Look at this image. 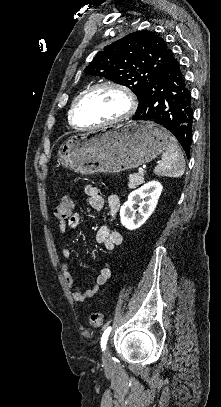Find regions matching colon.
<instances>
[{
    "label": "colon",
    "instance_id": "1",
    "mask_svg": "<svg viewBox=\"0 0 221 407\" xmlns=\"http://www.w3.org/2000/svg\"><path fill=\"white\" fill-rule=\"evenodd\" d=\"M74 209L73 199L70 196L63 197L54 208V216L59 220H68L72 217ZM104 314L100 311L93 312L90 315V325L98 328L102 326Z\"/></svg>",
    "mask_w": 221,
    "mask_h": 407
}]
</instances>
